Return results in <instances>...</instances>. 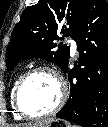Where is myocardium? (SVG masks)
Here are the masks:
<instances>
[{"mask_svg":"<svg viewBox=\"0 0 108 127\" xmlns=\"http://www.w3.org/2000/svg\"><path fill=\"white\" fill-rule=\"evenodd\" d=\"M38 73H48L51 76H53L59 84L60 95L57 104L50 111L43 114H30L22 107L21 93L29 78ZM67 97H68V88L64 78L57 71H55L50 67L39 66L27 71L25 74L21 76L15 88L13 103L15 109L22 117L28 119H39L56 114L66 103Z\"/></svg>","mask_w":108,"mask_h":127,"instance_id":"myocardium-1","label":"myocardium"}]
</instances>
